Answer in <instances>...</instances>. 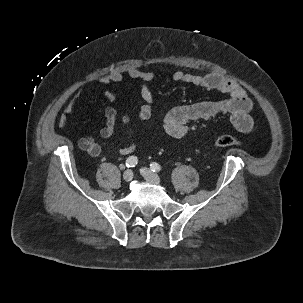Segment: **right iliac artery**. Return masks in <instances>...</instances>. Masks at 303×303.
<instances>
[{
  "instance_id": "1",
  "label": "right iliac artery",
  "mask_w": 303,
  "mask_h": 303,
  "mask_svg": "<svg viewBox=\"0 0 303 303\" xmlns=\"http://www.w3.org/2000/svg\"><path fill=\"white\" fill-rule=\"evenodd\" d=\"M137 163H138V159L136 156H130L126 160L127 167H134L135 165H137Z\"/></svg>"
}]
</instances>
